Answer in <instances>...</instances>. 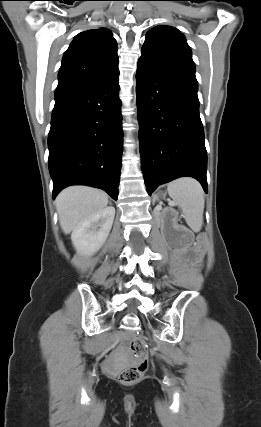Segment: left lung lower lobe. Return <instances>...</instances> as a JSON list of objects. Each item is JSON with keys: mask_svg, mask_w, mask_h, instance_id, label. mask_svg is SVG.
<instances>
[{"mask_svg": "<svg viewBox=\"0 0 261 427\" xmlns=\"http://www.w3.org/2000/svg\"><path fill=\"white\" fill-rule=\"evenodd\" d=\"M141 168L149 195L176 178L207 193V153L195 73L140 57L136 72Z\"/></svg>", "mask_w": 261, "mask_h": 427, "instance_id": "0a47b994", "label": "left lung lower lobe"}]
</instances>
